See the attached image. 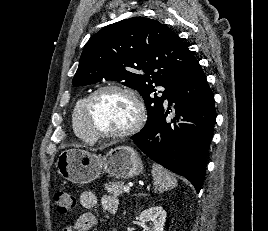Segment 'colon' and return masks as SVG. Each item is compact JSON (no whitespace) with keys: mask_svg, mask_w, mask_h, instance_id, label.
Masks as SVG:
<instances>
[{"mask_svg":"<svg viewBox=\"0 0 268 231\" xmlns=\"http://www.w3.org/2000/svg\"><path fill=\"white\" fill-rule=\"evenodd\" d=\"M54 200L57 211L63 214L76 205L75 196L66 191H58L54 196Z\"/></svg>","mask_w":268,"mask_h":231,"instance_id":"1","label":"colon"}]
</instances>
